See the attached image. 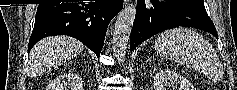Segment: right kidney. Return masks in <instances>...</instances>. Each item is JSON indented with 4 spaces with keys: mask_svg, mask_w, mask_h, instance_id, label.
I'll use <instances>...</instances> for the list:
<instances>
[{
    "mask_svg": "<svg viewBox=\"0 0 237 90\" xmlns=\"http://www.w3.org/2000/svg\"><path fill=\"white\" fill-rule=\"evenodd\" d=\"M79 80H80L79 76H76V78H73L74 84H76V86H79V90H82L81 84H78ZM53 88H55V90H57L58 84H57V86H53Z\"/></svg>",
    "mask_w": 237,
    "mask_h": 90,
    "instance_id": "ca27d5eb",
    "label": "right kidney"
}]
</instances>
